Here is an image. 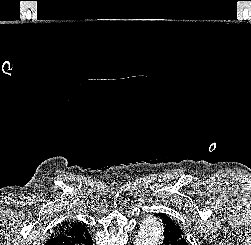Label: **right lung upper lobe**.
<instances>
[{
  "instance_id": "cb5924a9",
  "label": "right lung upper lobe",
  "mask_w": 251,
  "mask_h": 245,
  "mask_svg": "<svg viewBox=\"0 0 251 245\" xmlns=\"http://www.w3.org/2000/svg\"><path fill=\"white\" fill-rule=\"evenodd\" d=\"M83 228H85V226L79 222H65L64 224L60 225L56 230L55 232L53 233V235H56V234H62V233H66L68 231H73V232H76V231H80L82 230Z\"/></svg>"
}]
</instances>
